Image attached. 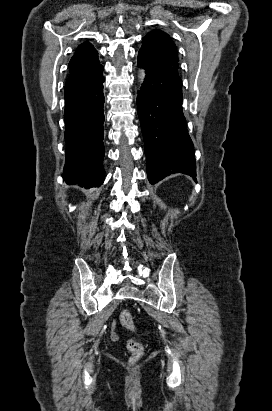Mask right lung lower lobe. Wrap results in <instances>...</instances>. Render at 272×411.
<instances>
[{"mask_svg":"<svg viewBox=\"0 0 272 411\" xmlns=\"http://www.w3.org/2000/svg\"><path fill=\"white\" fill-rule=\"evenodd\" d=\"M103 76L92 86L65 95L66 163L63 179L81 187H98L104 181Z\"/></svg>","mask_w":272,"mask_h":411,"instance_id":"right-lung-lower-lobe-1","label":"right lung lower lobe"}]
</instances>
